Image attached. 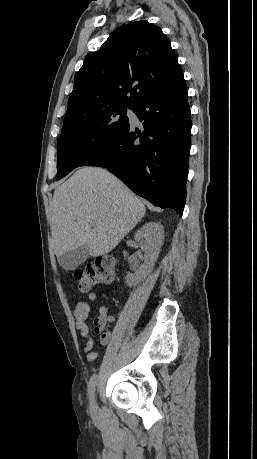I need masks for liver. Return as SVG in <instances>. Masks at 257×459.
Wrapping results in <instances>:
<instances>
[{
	"instance_id": "1",
	"label": "liver",
	"mask_w": 257,
	"mask_h": 459,
	"mask_svg": "<svg viewBox=\"0 0 257 459\" xmlns=\"http://www.w3.org/2000/svg\"><path fill=\"white\" fill-rule=\"evenodd\" d=\"M145 212L143 202L113 174L99 167L80 168L54 191V252L59 257L86 244L92 257L107 254Z\"/></svg>"
}]
</instances>
